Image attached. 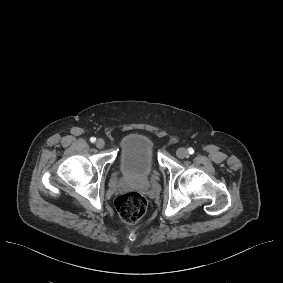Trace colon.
<instances>
[{
  "mask_svg": "<svg viewBox=\"0 0 283 283\" xmlns=\"http://www.w3.org/2000/svg\"><path fill=\"white\" fill-rule=\"evenodd\" d=\"M115 207L123 222L134 224L145 214L147 202L141 194L128 192L115 199Z\"/></svg>",
  "mask_w": 283,
  "mask_h": 283,
  "instance_id": "5ec220e1",
  "label": "colon"
}]
</instances>
